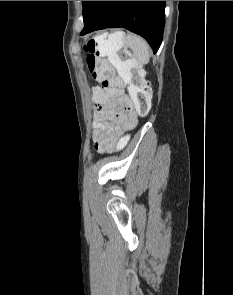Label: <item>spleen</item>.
<instances>
[{
  "instance_id": "obj_1",
  "label": "spleen",
  "mask_w": 233,
  "mask_h": 295,
  "mask_svg": "<svg viewBox=\"0 0 233 295\" xmlns=\"http://www.w3.org/2000/svg\"><path fill=\"white\" fill-rule=\"evenodd\" d=\"M99 49L102 56H107L108 60L121 70L124 63L119 58L117 52L127 46L133 51L134 56L143 64L149 62L150 51L147 42L140 36L135 34L125 35L122 31H117L108 36V39L100 38Z\"/></svg>"
}]
</instances>
